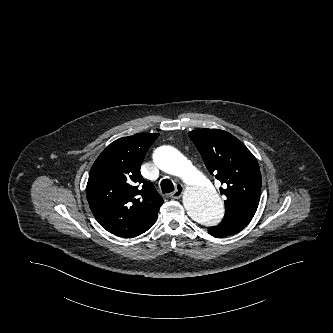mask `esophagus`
<instances>
[{"label":"esophagus","mask_w":333,"mask_h":333,"mask_svg":"<svg viewBox=\"0 0 333 333\" xmlns=\"http://www.w3.org/2000/svg\"><path fill=\"white\" fill-rule=\"evenodd\" d=\"M184 192V186L182 184H177L176 189L169 196L172 199H179Z\"/></svg>","instance_id":"obj_1"}]
</instances>
